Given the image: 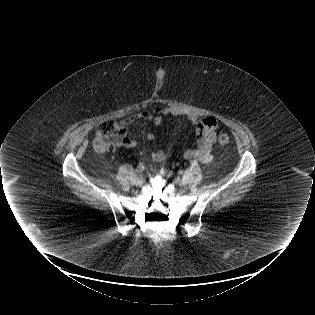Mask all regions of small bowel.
<instances>
[{
    "label": "small bowel",
    "instance_id": "obj_1",
    "mask_svg": "<svg viewBox=\"0 0 315 315\" xmlns=\"http://www.w3.org/2000/svg\"><path fill=\"white\" fill-rule=\"evenodd\" d=\"M167 115L180 116L182 113L174 108L157 105L152 111H140L133 114L122 121V125L127 126L138 120L150 121L155 127H158ZM189 121L196 127V145L194 148L187 149L183 152L182 158L186 160H198L202 163H209L212 161L211 154L212 146L216 140L217 121L212 117L199 118L195 115L188 116ZM149 141L155 139V134L149 132L146 135ZM135 141L127 139L122 146L131 148L135 146ZM152 161L155 163L163 162L171 156L164 151L154 150L151 152Z\"/></svg>",
    "mask_w": 315,
    "mask_h": 315
}]
</instances>
